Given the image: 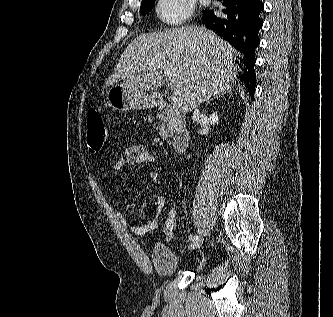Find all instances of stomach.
Wrapping results in <instances>:
<instances>
[{
	"label": "stomach",
	"mask_w": 333,
	"mask_h": 317,
	"mask_svg": "<svg viewBox=\"0 0 333 317\" xmlns=\"http://www.w3.org/2000/svg\"><path fill=\"white\" fill-rule=\"evenodd\" d=\"M107 99L110 106L119 111L145 109L156 105L154 94H147L128 82L115 84L109 88Z\"/></svg>",
	"instance_id": "1"
}]
</instances>
